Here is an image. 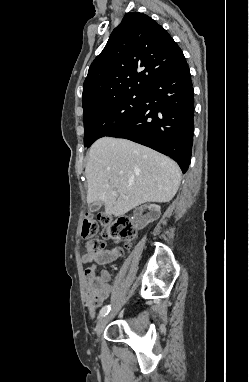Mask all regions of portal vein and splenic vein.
<instances>
[{
  "label": "portal vein and splenic vein",
  "mask_w": 249,
  "mask_h": 382,
  "mask_svg": "<svg viewBox=\"0 0 249 382\" xmlns=\"http://www.w3.org/2000/svg\"><path fill=\"white\" fill-rule=\"evenodd\" d=\"M112 195L117 196V195H118V192H117V191H113V192H112Z\"/></svg>",
  "instance_id": "1"
}]
</instances>
